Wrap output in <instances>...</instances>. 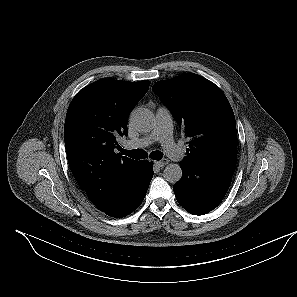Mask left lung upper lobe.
I'll list each match as a JSON object with an SVG mask.
<instances>
[{
    "label": "left lung upper lobe",
    "instance_id": "left-lung-upper-lobe-1",
    "mask_svg": "<svg viewBox=\"0 0 297 297\" xmlns=\"http://www.w3.org/2000/svg\"><path fill=\"white\" fill-rule=\"evenodd\" d=\"M152 90L190 138L187 157L180 165L205 180L233 175L237 131L233 110L222 90L194 73L158 81Z\"/></svg>",
    "mask_w": 297,
    "mask_h": 297
}]
</instances>
